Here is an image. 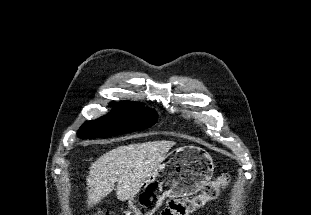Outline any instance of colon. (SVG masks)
<instances>
[{
  "mask_svg": "<svg viewBox=\"0 0 311 215\" xmlns=\"http://www.w3.org/2000/svg\"><path fill=\"white\" fill-rule=\"evenodd\" d=\"M229 182V175L222 174L215 181L207 185L201 193L188 198L170 200L160 215H192L204 208L208 203L216 200L220 193L228 186ZM93 215L110 214L102 211Z\"/></svg>",
  "mask_w": 311,
  "mask_h": 215,
  "instance_id": "obj_1",
  "label": "colon"
}]
</instances>
